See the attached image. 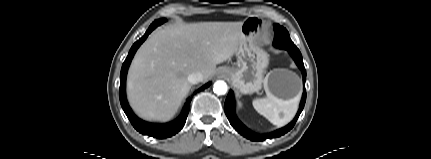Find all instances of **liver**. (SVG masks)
I'll return each instance as SVG.
<instances>
[{"mask_svg":"<svg viewBox=\"0 0 431 159\" xmlns=\"http://www.w3.org/2000/svg\"><path fill=\"white\" fill-rule=\"evenodd\" d=\"M242 22L178 23L155 30L129 68L127 97L145 120L167 121L191 89L188 76L209 79L242 41Z\"/></svg>","mask_w":431,"mask_h":159,"instance_id":"1","label":"liver"}]
</instances>
